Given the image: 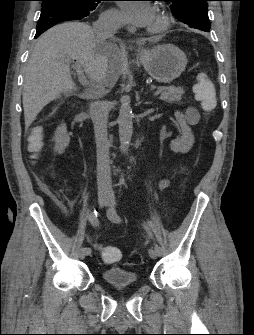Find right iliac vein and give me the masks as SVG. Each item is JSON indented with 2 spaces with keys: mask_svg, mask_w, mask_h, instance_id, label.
<instances>
[{
  "mask_svg": "<svg viewBox=\"0 0 254 335\" xmlns=\"http://www.w3.org/2000/svg\"><path fill=\"white\" fill-rule=\"evenodd\" d=\"M98 203L101 207H104L106 205H108L109 203V196L107 193H99L98 194ZM86 257V252H85V248L81 247L78 250V258L83 260Z\"/></svg>",
  "mask_w": 254,
  "mask_h": 335,
  "instance_id": "obj_1",
  "label": "right iliac vein"
}]
</instances>
